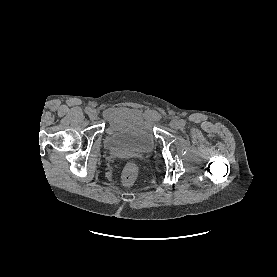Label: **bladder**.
Segmentation results:
<instances>
[{"mask_svg": "<svg viewBox=\"0 0 277 277\" xmlns=\"http://www.w3.org/2000/svg\"><path fill=\"white\" fill-rule=\"evenodd\" d=\"M149 112L119 107L106 114V148L113 153H149L156 141Z\"/></svg>", "mask_w": 277, "mask_h": 277, "instance_id": "bladder-1", "label": "bladder"}]
</instances>
